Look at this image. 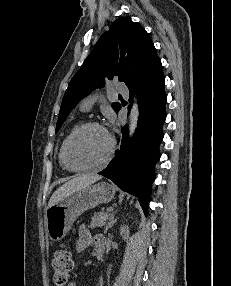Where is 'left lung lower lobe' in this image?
<instances>
[{"instance_id": "left-lung-lower-lobe-1", "label": "left lung lower lobe", "mask_w": 231, "mask_h": 286, "mask_svg": "<svg viewBox=\"0 0 231 286\" xmlns=\"http://www.w3.org/2000/svg\"><path fill=\"white\" fill-rule=\"evenodd\" d=\"M165 77L161 60L151 63L128 88L139 104L138 128L129 140L123 129L120 150L104 171L98 174L112 180L119 188L136 197L147 215L154 179V166L160 158L159 145L163 139L166 119ZM132 102V100H130Z\"/></svg>"}]
</instances>
